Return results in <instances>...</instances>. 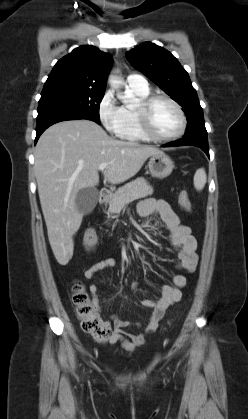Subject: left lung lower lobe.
<instances>
[{"label": "left lung lower lobe", "instance_id": "0a47b994", "mask_svg": "<svg viewBox=\"0 0 248 419\" xmlns=\"http://www.w3.org/2000/svg\"><path fill=\"white\" fill-rule=\"evenodd\" d=\"M197 146L201 148L209 157L208 137L206 129L196 130L191 133L185 134L182 139L163 145V147H176V146Z\"/></svg>", "mask_w": 248, "mask_h": 419}]
</instances>
